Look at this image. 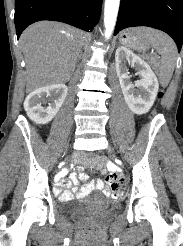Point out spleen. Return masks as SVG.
<instances>
[{"mask_svg": "<svg viewBox=\"0 0 183 246\" xmlns=\"http://www.w3.org/2000/svg\"><path fill=\"white\" fill-rule=\"evenodd\" d=\"M142 36L146 42L155 47L157 52L162 56L159 80L163 86H167L171 80L177 60L176 45L167 34L155 29L145 28Z\"/></svg>", "mask_w": 183, "mask_h": 246, "instance_id": "1", "label": "spleen"}]
</instances>
